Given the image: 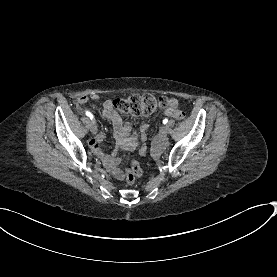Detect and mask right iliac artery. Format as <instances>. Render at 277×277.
<instances>
[{
  "mask_svg": "<svg viewBox=\"0 0 277 277\" xmlns=\"http://www.w3.org/2000/svg\"><path fill=\"white\" fill-rule=\"evenodd\" d=\"M85 114L92 120L93 119V115L91 112L86 111Z\"/></svg>",
  "mask_w": 277,
  "mask_h": 277,
  "instance_id": "1",
  "label": "right iliac artery"
}]
</instances>
